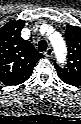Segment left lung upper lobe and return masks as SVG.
Segmentation results:
<instances>
[{
  "label": "left lung upper lobe",
  "mask_w": 81,
  "mask_h": 124,
  "mask_svg": "<svg viewBox=\"0 0 81 124\" xmlns=\"http://www.w3.org/2000/svg\"><path fill=\"white\" fill-rule=\"evenodd\" d=\"M65 40L68 47V62L61 68L54 63L59 78L72 86L81 85V28L67 25Z\"/></svg>",
  "instance_id": "left-lung-upper-lobe-1"
}]
</instances>
